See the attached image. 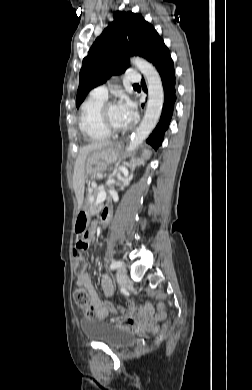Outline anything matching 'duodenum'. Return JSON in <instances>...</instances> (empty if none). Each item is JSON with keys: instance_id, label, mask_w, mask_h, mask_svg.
I'll use <instances>...</instances> for the list:
<instances>
[{"instance_id": "obj_1", "label": "duodenum", "mask_w": 252, "mask_h": 390, "mask_svg": "<svg viewBox=\"0 0 252 390\" xmlns=\"http://www.w3.org/2000/svg\"><path fill=\"white\" fill-rule=\"evenodd\" d=\"M106 208V207H105ZM103 225L107 226L108 225V222H104Z\"/></svg>"}]
</instances>
